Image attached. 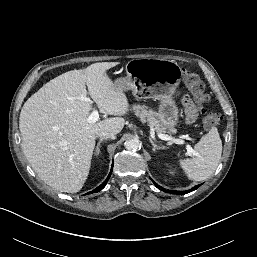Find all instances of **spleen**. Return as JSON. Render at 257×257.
Returning <instances> with one entry per match:
<instances>
[{"label":"spleen","mask_w":257,"mask_h":257,"mask_svg":"<svg viewBox=\"0 0 257 257\" xmlns=\"http://www.w3.org/2000/svg\"><path fill=\"white\" fill-rule=\"evenodd\" d=\"M196 155L179 161L188 179L204 181L216 170L221 154L222 141L216 127H212L195 145Z\"/></svg>","instance_id":"spleen-1"}]
</instances>
